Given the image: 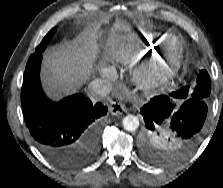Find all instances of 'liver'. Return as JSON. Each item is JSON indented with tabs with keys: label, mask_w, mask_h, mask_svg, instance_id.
<instances>
[{
	"label": "liver",
	"mask_w": 223,
	"mask_h": 188,
	"mask_svg": "<svg viewBox=\"0 0 223 188\" xmlns=\"http://www.w3.org/2000/svg\"><path fill=\"white\" fill-rule=\"evenodd\" d=\"M100 36L98 28L89 29L73 41L62 43L44 54L42 79L48 93H70L82 85L92 72ZM111 44L112 52L117 53L119 40L115 31L111 34Z\"/></svg>",
	"instance_id": "liver-1"
}]
</instances>
